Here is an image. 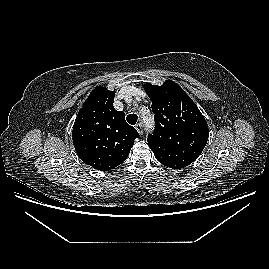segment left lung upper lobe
I'll return each mask as SVG.
<instances>
[{"mask_svg":"<svg viewBox=\"0 0 269 269\" xmlns=\"http://www.w3.org/2000/svg\"><path fill=\"white\" fill-rule=\"evenodd\" d=\"M152 101L156 130L148 145L156 159L172 169H181L195 161L204 149L208 125L192 99L171 80L162 86L145 84Z\"/></svg>","mask_w":269,"mask_h":269,"instance_id":"5c2ea615","label":"left lung upper lobe"}]
</instances>
